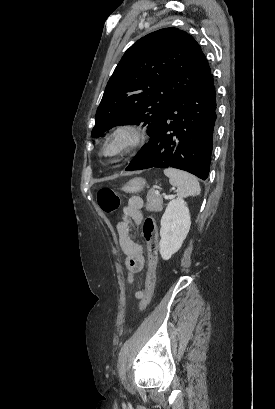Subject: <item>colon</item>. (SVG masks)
Returning a JSON list of instances; mask_svg holds the SVG:
<instances>
[{"mask_svg": "<svg viewBox=\"0 0 275 409\" xmlns=\"http://www.w3.org/2000/svg\"><path fill=\"white\" fill-rule=\"evenodd\" d=\"M97 202L101 210L113 214L121 208V198L110 188H102L97 192ZM142 236L147 243L148 271L144 292L139 303V311H143L150 303L155 285V275L158 263V234L153 215H148L142 224Z\"/></svg>", "mask_w": 275, "mask_h": 409, "instance_id": "1", "label": "colon"}]
</instances>
